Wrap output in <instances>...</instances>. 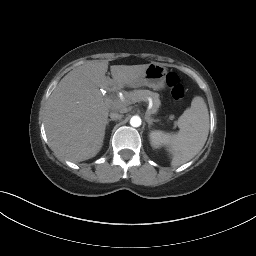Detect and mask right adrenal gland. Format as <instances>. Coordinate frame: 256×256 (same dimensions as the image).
I'll use <instances>...</instances> for the list:
<instances>
[{
    "instance_id": "right-adrenal-gland-1",
    "label": "right adrenal gland",
    "mask_w": 256,
    "mask_h": 256,
    "mask_svg": "<svg viewBox=\"0 0 256 256\" xmlns=\"http://www.w3.org/2000/svg\"><path fill=\"white\" fill-rule=\"evenodd\" d=\"M110 121H115V120H113V119H108L107 122H106V124L108 125Z\"/></svg>"
}]
</instances>
